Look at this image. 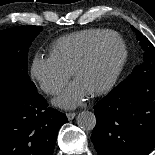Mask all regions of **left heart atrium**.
I'll use <instances>...</instances> for the list:
<instances>
[{
  "instance_id": "1",
  "label": "left heart atrium",
  "mask_w": 155,
  "mask_h": 155,
  "mask_svg": "<svg viewBox=\"0 0 155 155\" xmlns=\"http://www.w3.org/2000/svg\"><path fill=\"white\" fill-rule=\"evenodd\" d=\"M90 92L84 88L79 82H73L69 88L53 103L63 108H74L81 104Z\"/></svg>"
}]
</instances>
